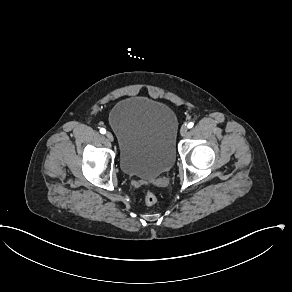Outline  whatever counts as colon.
Wrapping results in <instances>:
<instances>
[{"label":"colon","instance_id":"colon-1","mask_svg":"<svg viewBox=\"0 0 292 292\" xmlns=\"http://www.w3.org/2000/svg\"><path fill=\"white\" fill-rule=\"evenodd\" d=\"M144 202L147 206H153L157 203V196L152 191H147L144 196Z\"/></svg>","mask_w":292,"mask_h":292}]
</instances>
